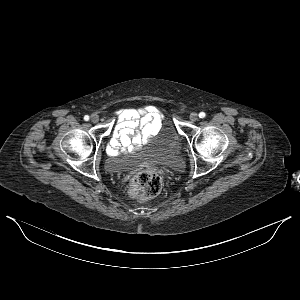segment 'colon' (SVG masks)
<instances>
[{
    "label": "colon",
    "mask_w": 300,
    "mask_h": 300,
    "mask_svg": "<svg viewBox=\"0 0 300 300\" xmlns=\"http://www.w3.org/2000/svg\"><path fill=\"white\" fill-rule=\"evenodd\" d=\"M161 189V178L154 171L143 169L132 177L129 193L132 198L144 201L157 196Z\"/></svg>",
    "instance_id": "5ec220e1"
}]
</instances>
